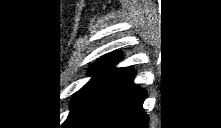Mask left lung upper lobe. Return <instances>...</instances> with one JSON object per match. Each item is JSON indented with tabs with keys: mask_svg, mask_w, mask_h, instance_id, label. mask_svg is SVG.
I'll list each match as a JSON object with an SVG mask.
<instances>
[{
	"mask_svg": "<svg viewBox=\"0 0 221 128\" xmlns=\"http://www.w3.org/2000/svg\"><path fill=\"white\" fill-rule=\"evenodd\" d=\"M121 54L111 53L97 60L89 69L93 78L72 99L70 112L64 124L94 104L119 81L132 72L131 68H114ZM63 124V125H64Z\"/></svg>",
	"mask_w": 221,
	"mask_h": 128,
	"instance_id": "5c2ea615",
	"label": "left lung upper lobe"
}]
</instances>
